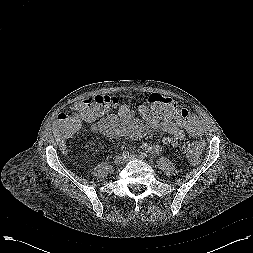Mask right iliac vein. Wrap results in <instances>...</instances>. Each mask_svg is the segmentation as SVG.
<instances>
[{"mask_svg":"<svg viewBox=\"0 0 253 253\" xmlns=\"http://www.w3.org/2000/svg\"><path fill=\"white\" fill-rule=\"evenodd\" d=\"M114 163H115L116 165H122V164L125 163V158H123L122 156H117V157H115V159H114Z\"/></svg>","mask_w":253,"mask_h":253,"instance_id":"obj_1","label":"right iliac vein"}]
</instances>
